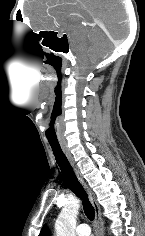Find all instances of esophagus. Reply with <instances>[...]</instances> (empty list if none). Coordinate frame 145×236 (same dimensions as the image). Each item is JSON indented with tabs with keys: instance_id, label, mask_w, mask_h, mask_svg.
Instances as JSON below:
<instances>
[{
	"instance_id": "1",
	"label": "esophagus",
	"mask_w": 145,
	"mask_h": 236,
	"mask_svg": "<svg viewBox=\"0 0 145 236\" xmlns=\"http://www.w3.org/2000/svg\"><path fill=\"white\" fill-rule=\"evenodd\" d=\"M61 148L64 152V154L66 155L71 167L73 168V171L77 177V179L79 180V182L83 185V187L85 188V190L87 191V194L89 196L90 202L93 205L94 209H95V234L96 236H104V230H103V220L101 218V214H100V207L96 201L95 195L93 194V192L87 187L82 174L80 173L78 167L75 165V162L71 156V154L69 153L67 147L65 146V144L61 143Z\"/></svg>"
}]
</instances>
